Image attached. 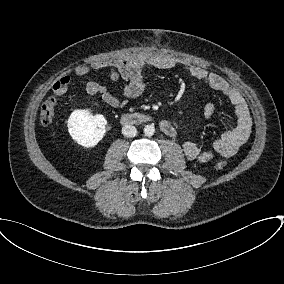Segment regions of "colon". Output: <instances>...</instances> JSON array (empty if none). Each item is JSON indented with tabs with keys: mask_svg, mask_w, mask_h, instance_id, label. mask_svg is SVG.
<instances>
[{
	"mask_svg": "<svg viewBox=\"0 0 284 284\" xmlns=\"http://www.w3.org/2000/svg\"><path fill=\"white\" fill-rule=\"evenodd\" d=\"M56 101L54 97L46 99L40 109V121L44 126L52 123L55 113ZM226 166V161H219L216 164L217 169H223Z\"/></svg>",
	"mask_w": 284,
	"mask_h": 284,
	"instance_id": "5ec220e1",
	"label": "colon"
}]
</instances>
